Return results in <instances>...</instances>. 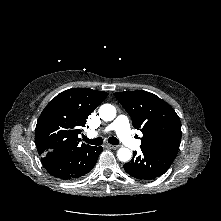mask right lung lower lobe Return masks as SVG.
<instances>
[{"instance_id":"obj_1","label":"right lung lower lobe","mask_w":221,"mask_h":221,"mask_svg":"<svg viewBox=\"0 0 221 221\" xmlns=\"http://www.w3.org/2000/svg\"><path fill=\"white\" fill-rule=\"evenodd\" d=\"M102 150L103 147L86 145L59 152L50 159L42 161V164L52 176L63 180H73L92 170Z\"/></svg>"}]
</instances>
